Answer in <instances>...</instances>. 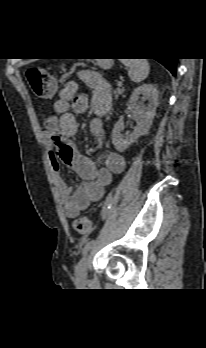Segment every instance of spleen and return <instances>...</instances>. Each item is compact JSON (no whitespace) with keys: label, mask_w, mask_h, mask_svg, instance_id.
Here are the masks:
<instances>
[{"label":"spleen","mask_w":206,"mask_h":348,"mask_svg":"<svg viewBox=\"0 0 206 348\" xmlns=\"http://www.w3.org/2000/svg\"><path fill=\"white\" fill-rule=\"evenodd\" d=\"M122 63L128 68V76L133 82L140 83L147 78L150 66L146 59H122Z\"/></svg>","instance_id":"1"}]
</instances>
